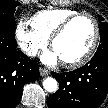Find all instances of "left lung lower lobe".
Masks as SVG:
<instances>
[{"label":"left lung lower lobe","mask_w":108,"mask_h":108,"mask_svg":"<svg viewBox=\"0 0 108 108\" xmlns=\"http://www.w3.org/2000/svg\"><path fill=\"white\" fill-rule=\"evenodd\" d=\"M52 76L59 89L47 99L48 108H98L108 93V56H94L81 68Z\"/></svg>","instance_id":"1"}]
</instances>
